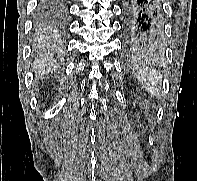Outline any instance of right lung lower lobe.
Instances as JSON below:
<instances>
[{
	"label": "right lung lower lobe",
	"instance_id": "obj_1",
	"mask_svg": "<svg viewBox=\"0 0 197 181\" xmlns=\"http://www.w3.org/2000/svg\"><path fill=\"white\" fill-rule=\"evenodd\" d=\"M43 15L64 22L67 16V0H43Z\"/></svg>",
	"mask_w": 197,
	"mask_h": 181
}]
</instances>
